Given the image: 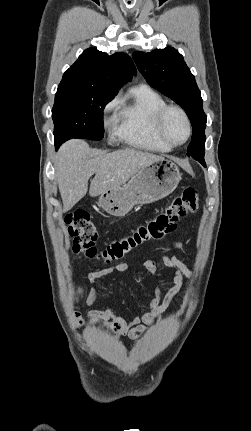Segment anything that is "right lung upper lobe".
I'll return each mask as SVG.
<instances>
[{"label":"right lung upper lobe","mask_w":251,"mask_h":431,"mask_svg":"<svg viewBox=\"0 0 251 431\" xmlns=\"http://www.w3.org/2000/svg\"><path fill=\"white\" fill-rule=\"evenodd\" d=\"M135 74L136 68L127 54L117 52L109 56L92 47L65 71L60 84L116 95Z\"/></svg>","instance_id":"1"}]
</instances>
